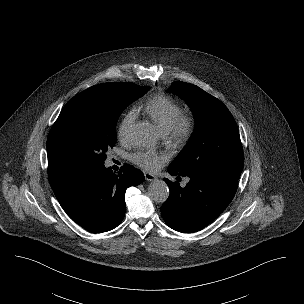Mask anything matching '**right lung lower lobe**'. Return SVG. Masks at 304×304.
<instances>
[{
  "label": "right lung lower lobe",
  "instance_id": "obj_1",
  "mask_svg": "<svg viewBox=\"0 0 304 304\" xmlns=\"http://www.w3.org/2000/svg\"><path fill=\"white\" fill-rule=\"evenodd\" d=\"M144 181V174L124 164L118 174L104 165L87 169L53 189L68 216L91 232L114 229L125 215V191Z\"/></svg>",
  "mask_w": 304,
  "mask_h": 304
}]
</instances>
